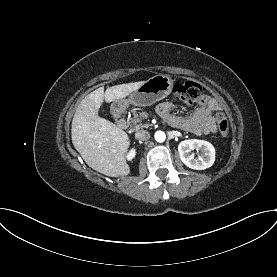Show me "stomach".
<instances>
[{
  "label": "stomach",
  "instance_id": "1",
  "mask_svg": "<svg viewBox=\"0 0 277 277\" xmlns=\"http://www.w3.org/2000/svg\"><path fill=\"white\" fill-rule=\"evenodd\" d=\"M173 80L168 75H155L145 81L128 99H118L112 107L118 110L126 109L130 104L135 106H149L165 98L172 91Z\"/></svg>",
  "mask_w": 277,
  "mask_h": 277
}]
</instances>
